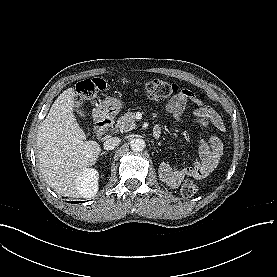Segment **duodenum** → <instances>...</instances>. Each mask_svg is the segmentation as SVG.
Masks as SVG:
<instances>
[{
    "mask_svg": "<svg viewBox=\"0 0 277 277\" xmlns=\"http://www.w3.org/2000/svg\"><path fill=\"white\" fill-rule=\"evenodd\" d=\"M114 125V120L104 115L103 109H99L96 118V128L99 134L105 135ZM161 135L160 129H155L152 132L154 139H158Z\"/></svg>",
    "mask_w": 277,
    "mask_h": 277,
    "instance_id": "duodenum-1",
    "label": "duodenum"
}]
</instances>
